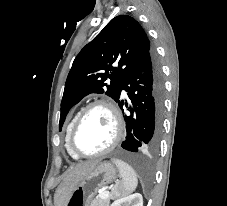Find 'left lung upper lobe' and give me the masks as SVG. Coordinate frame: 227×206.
I'll list each match as a JSON object with an SVG mask.
<instances>
[{"label": "left lung upper lobe", "mask_w": 227, "mask_h": 206, "mask_svg": "<svg viewBox=\"0 0 227 206\" xmlns=\"http://www.w3.org/2000/svg\"><path fill=\"white\" fill-rule=\"evenodd\" d=\"M151 51L146 33L134 18H113L73 62L61 102L59 130L70 108L90 93H105L117 102L125 77Z\"/></svg>", "instance_id": "5c2ea615"}]
</instances>
